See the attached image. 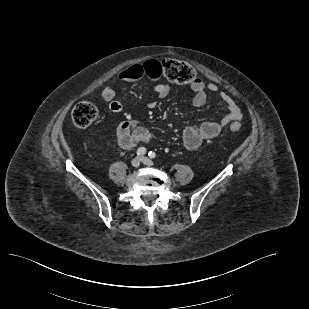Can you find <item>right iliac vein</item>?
I'll return each instance as SVG.
<instances>
[{"label": "right iliac vein", "instance_id": "right-iliac-vein-1", "mask_svg": "<svg viewBox=\"0 0 309 309\" xmlns=\"http://www.w3.org/2000/svg\"><path fill=\"white\" fill-rule=\"evenodd\" d=\"M140 161H141L140 157H136V158H134V159L131 161V165H132L133 167L137 168V167H139V165H140Z\"/></svg>", "mask_w": 309, "mask_h": 309}]
</instances>
